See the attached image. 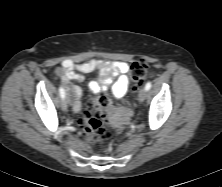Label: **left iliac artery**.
<instances>
[{
  "instance_id": "obj_1",
  "label": "left iliac artery",
  "mask_w": 222,
  "mask_h": 187,
  "mask_svg": "<svg viewBox=\"0 0 222 187\" xmlns=\"http://www.w3.org/2000/svg\"><path fill=\"white\" fill-rule=\"evenodd\" d=\"M151 86H152L151 82H147L145 85V89L149 90L151 88Z\"/></svg>"
}]
</instances>
